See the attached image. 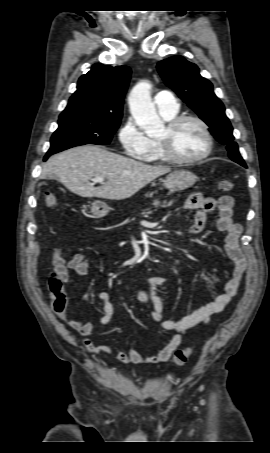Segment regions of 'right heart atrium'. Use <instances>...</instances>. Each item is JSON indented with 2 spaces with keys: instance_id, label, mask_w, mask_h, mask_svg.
I'll return each instance as SVG.
<instances>
[{
  "instance_id": "1",
  "label": "right heart atrium",
  "mask_w": 270,
  "mask_h": 453,
  "mask_svg": "<svg viewBox=\"0 0 270 453\" xmlns=\"http://www.w3.org/2000/svg\"><path fill=\"white\" fill-rule=\"evenodd\" d=\"M118 139L124 153L133 158L144 155L150 143V139L132 117H128L120 127Z\"/></svg>"
}]
</instances>
